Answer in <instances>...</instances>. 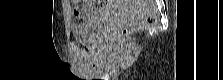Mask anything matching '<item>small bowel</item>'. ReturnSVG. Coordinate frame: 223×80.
I'll return each mask as SVG.
<instances>
[{
    "mask_svg": "<svg viewBox=\"0 0 223 80\" xmlns=\"http://www.w3.org/2000/svg\"><path fill=\"white\" fill-rule=\"evenodd\" d=\"M111 7H113V1H103L97 6L92 1H86L82 6L74 4L73 11L82 20H95Z\"/></svg>",
    "mask_w": 223,
    "mask_h": 80,
    "instance_id": "small-bowel-1",
    "label": "small bowel"
}]
</instances>
